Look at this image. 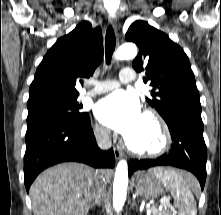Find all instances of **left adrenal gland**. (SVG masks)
<instances>
[{
	"mask_svg": "<svg viewBox=\"0 0 221 215\" xmlns=\"http://www.w3.org/2000/svg\"><path fill=\"white\" fill-rule=\"evenodd\" d=\"M133 206H136V209L138 208V206H137V203H136L135 199H133V201H132V207H133Z\"/></svg>",
	"mask_w": 221,
	"mask_h": 215,
	"instance_id": "1",
	"label": "left adrenal gland"
}]
</instances>
